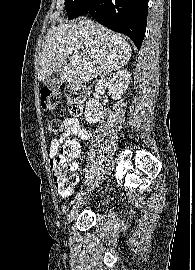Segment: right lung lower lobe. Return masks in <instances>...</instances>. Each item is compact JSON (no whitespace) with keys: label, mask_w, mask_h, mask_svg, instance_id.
I'll return each mask as SVG.
<instances>
[{"label":"right lung lower lobe","mask_w":195,"mask_h":270,"mask_svg":"<svg viewBox=\"0 0 195 270\" xmlns=\"http://www.w3.org/2000/svg\"><path fill=\"white\" fill-rule=\"evenodd\" d=\"M149 0H86L89 13L107 28L131 38L139 50L144 39Z\"/></svg>","instance_id":"obj_1"}]
</instances>
